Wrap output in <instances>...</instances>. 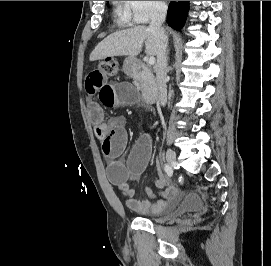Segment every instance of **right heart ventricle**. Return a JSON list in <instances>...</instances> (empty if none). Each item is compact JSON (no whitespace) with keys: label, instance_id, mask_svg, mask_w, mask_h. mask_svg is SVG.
<instances>
[{"label":"right heart ventricle","instance_id":"1","mask_svg":"<svg viewBox=\"0 0 271 266\" xmlns=\"http://www.w3.org/2000/svg\"><path fill=\"white\" fill-rule=\"evenodd\" d=\"M114 4H115V13L118 16V18L122 21H127L128 14L124 7V1H114Z\"/></svg>","mask_w":271,"mask_h":266}]
</instances>
